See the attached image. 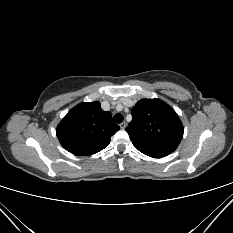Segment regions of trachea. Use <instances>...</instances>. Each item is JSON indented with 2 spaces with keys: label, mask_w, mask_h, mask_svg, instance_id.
Instances as JSON below:
<instances>
[{
  "label": "trachea",
  "mask_w": 233,
  "mask_h": 233,
  "mask_svg": "<svg viewBox=\"0 0 233 233\" xmlns=\"http://www.w3.org/2000/svg\"><path fill=\"white\" fill-rule=\"evenodd\" d=\"M113 119H114L115 123L120 124L123 121L124 117H123L122 114L117 113V114L114 115Z\"/></svg>",
  "instance_id": "obj_1"
}]
</instances>
